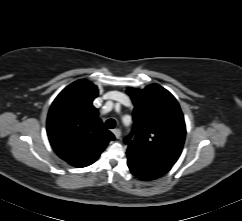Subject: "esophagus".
<instances>
[{
    "instance_id": "1",
    "label": "esophagus",
    "mask_w": 242,
    "mask_h": 221,
    "mask_svg": "<svg viewBox=\"0 0 242 221\" xmlns=\"http://www.w3.org/2000/svg\"><path fill=\"white\" fill-rule=\"evenodd\" d=\"M112 132L117 139H119L121 137V130L120 129H114Z\"/></svg>"
}]
</instances>
